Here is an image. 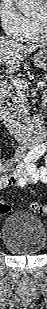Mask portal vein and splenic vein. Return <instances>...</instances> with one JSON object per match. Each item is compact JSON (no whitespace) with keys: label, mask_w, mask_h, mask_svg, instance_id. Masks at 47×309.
<instances>
[{"label":"portal vein and splenic vein","mask_w":47,"mask_h":309,"mask_svg":"<svg viewBox=\"0 0 47 309\" xmlns=\"http://www.w3.org/2000/svg\"><path fill=\"white\" fill-rule=\"evenodd\" d=\"M11 83L14 87H16L17 89H27L28 88V83L24 80L21 79H11ZM45 83L44 82H40L38 83V87H44Z\"/></svg>","instance_id":"18ae733b"}]
</instances>
